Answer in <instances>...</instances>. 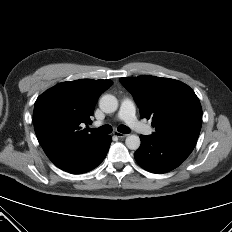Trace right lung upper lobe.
<instances>
[{"label": "right lung upper lobe", "instance_id": "cb5924a9", "mask_svg": "<svg viewBox=\"0 0 232 232\" xmlns=\"http://www.w3.org/2000/svg\"><path fill=\"white\" fill-rule=\"evenodd\" d=\"M113 84L110 80L81 79L62 82L45 91L34 107L35 133L50 160L88 147L101 136L88 134L81 124L90 116L99 96Z\"/></svg>", "mask_w": 232, "mask_h": 232}]
</instances>
